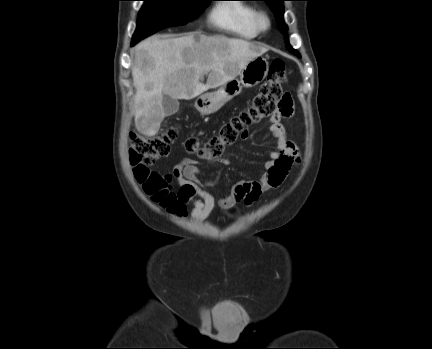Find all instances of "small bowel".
I'll return each mask as SVG.
<instances>
[{"mask_svg":"<svg viewBox=\"0 0 432 349\" xmlns=\"http://www.w3.org/2000/svg\"><path fill=\"white\" fill-rule=\"evenodd\" d=\"M292 107L288 113L277 112L270 117V132L276 140V147L269 152V159L264 164V170L259 180L237 182L231 193L220 199L221 206H232L239 202L250 204L259 196L281 185L288 173L300 162V153L297 145L287 136V130L283 119L292 115ZM245 137V136H244ZM172 174L180 189L178 198L182 206L191 203V217L197 221L208 218L216 206L214 196L204 186L211 185L214 180H203L197 166V161L191 158H183L178 162Z\"/></svg>","mask_w":432,"mask_h":349,"instance_id":"obj_1","label":"small bowel"}]
</instances>
